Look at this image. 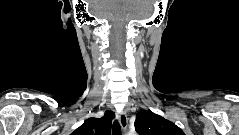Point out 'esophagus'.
Instances as JSON below:
<instances>
[{"instance_id": "esophagus-1", "label": "esophagus", "mask_w": 239, "mask_h": 135, "mask_svg": "<svg viewBox=\"0 0 239 135\" xmlns=\"http://www.w3.org/2000/svg\"><path fill=\"white\" fill-rule=\"evenodd\" d=\"M118 119H119V123H120L122 129L126 130L127 125H128V119H127V115L125 114V112H121L118 115Z\"/></svg>"}]
</instances>
